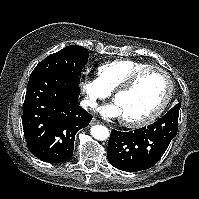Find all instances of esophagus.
<instances>
[{
    "label": "esophagus",
    "instance_id": "34e87169",
    "mask_svg": "<svg viewBox=\"0 0 199 199\" xmlns=\"http://www.w3.org/2000/svg\"><path fill=\"white\" fill-rule=\"evenodd\" d=\"M99 123H100V121H99L98 119L93 118V119L91 120V122H90V125H95V124H99Z\"/></svg>",
    "mask_w": 199,
    "mask_h": 199
}]
</instances>
